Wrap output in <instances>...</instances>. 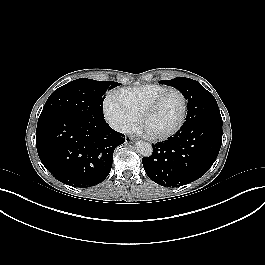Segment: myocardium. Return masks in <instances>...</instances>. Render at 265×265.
<instances>
[{"label":"myocardium","mask_w":265,"mask_h":265,"mask_svg":"<svg viewBox=\"0 0 265 265\" xmlns=\"http://www.w3.org/2000/svg\"><path fill=\"white\" fill-rule=\"evenodd\" d=\"M169 92H176L180 95L181 100H182V113L180 116V119L178 123L175 125L174 128H172L170 131L162 133V134H152L147 131H145L146 136L151 139V140H166L173 135H175L184 125L186 116H187V110H188V104H187V99L185 94L178 88L175 87H167L163 91H161L159 94H157L149 103L148 105L143 109L141 114L139 115V124L143 128V123L147 115L155 109V107L158 105L160 100Z\"/></svg>","instance_id":"1"}]
</instances>
